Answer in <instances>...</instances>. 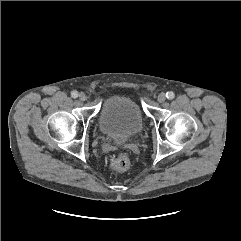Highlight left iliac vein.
I'll return each mask as SVG.
<instances>
[{"instance_id":"left-iliac-vein-1","label":"left iliac vein","mask_w":241,"mask_h":241,"mask_svg":"<svg viewBox=\"0 0 241 241\" xmlns=\"http://www.w3.org/2000/svg\"><path fill=\"white\" fill-rule=\"evenodd\" d=\"M166 100V95H165V93H160L159 95H158V97H157V101L159 102V103H163L164 101Z\"/></svg>"}]
</instances>
